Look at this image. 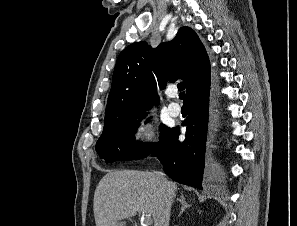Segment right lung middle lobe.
I'll use <instances>...</instances> for the list:
<instances>
[{"mask_svg": "<svg viewBox=\"0 0 297 226\" xmlns=\"http://www.w3.org/2000/svg\"><path fill=\"white\" fill-rule=\"evenodd\" d=\"M140 112L122 115L120 111L105 114L103 133L96 143V151L106 162L117 160H138L149 156L155 143L136 142L134 133L142 120ZM170 128L160 125V142L166 137Z\"/></svg>", "mask_w": 297, "mask_h": 226, "instance_id": "obj_1", "label": "right lung middle lobe"}]
</instances>
